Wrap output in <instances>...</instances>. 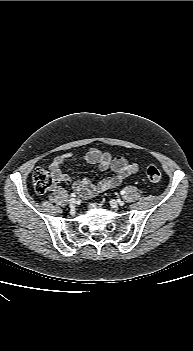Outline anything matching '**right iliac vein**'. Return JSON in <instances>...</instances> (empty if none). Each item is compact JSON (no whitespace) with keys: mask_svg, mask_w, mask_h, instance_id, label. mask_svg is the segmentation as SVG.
<instances>
[{"mask_svg":"<svg viewBox=\"0 0 193 351\" xmlns=\"http://www.w3.org/2000/svg\"><path fill=\"white\" fill-rule=\"evenodd\" d=\"M68 203L71 207H74L76 205V200L72 198L68 201Z\"/></svg>","mask_w":193,"mask_h":351,"instance_id":"obj_1","label":"right iliac vein"}]
</instances>
